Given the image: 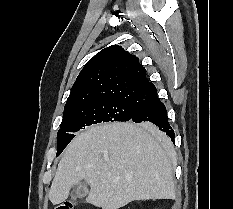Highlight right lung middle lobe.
I'll use <instances>...</instances> for the list:
<instances>
[{
	"instance_id": "dd1d6c3e",
	"label": "right lung middle lobe",
	"mask_w": 233,
	"mask_h": 209,
	"mask_svg": "<svg viewBox=\"0 0 233 209\" xmlns=\"http://www.w3.org/2000/svg\"><path fill=\"white\" fill-rule=\"evenodd\" d=\"M143 106L120 100H103L84 104L64 112L61 129L57 135V155L59 156L70 141L73 134L87 126L102 122L129 121L138 109ZM143 127H150L141 124Z\"/></svg>"
}]
</instances>
